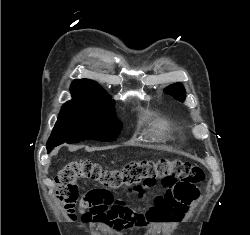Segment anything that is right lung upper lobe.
Segmentation results:
<instances>
[{
	"label": "right lung upper lobe",
	"instance_id": "right-lung-upper-lobe-1",
	"mask_svg": "<svg viewBox=\"0 0 250 235\" xmlns=\"http://www.w3.org/2000/svg\"><path fill=\"white\" fill-rule=\"evenodd\" d=\"M73 101H110L111 97L94 81L75 80L71 85Z\"/></svg>",
	"mask_w": 250,
	"mask_h": 235
}]
</instances>
